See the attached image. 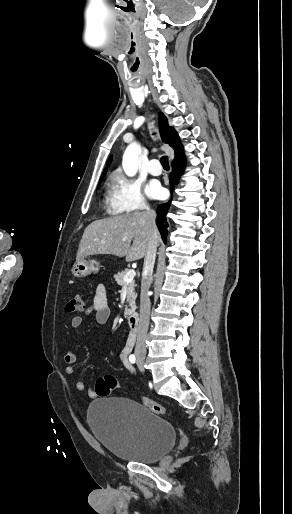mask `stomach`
I'll use <instances>...</instances> for the list:
<instances>
[{
    "label": "stomach",
    "instance_id": "1",
    "mask_svg": "<svg viewBox=\"0 0 292 514\" xmlns=\"http://www.w3.org/2000/svg\"><path fill=\"white\" fill-rule=\"evenodd\" d=\"M99 270V262H96V260H84V258H81V260H77V262H75L72 268V274L75 278H84V276H88V274H92V272L96 274Z\"/></svg>",
    "mask_w": 292,
    "mask_h": 514
}]
</instances>
